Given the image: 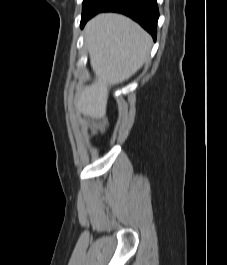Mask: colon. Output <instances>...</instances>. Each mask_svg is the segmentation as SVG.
Here are the masks:
<instances>
[{
    "mask_svg": "<svg viewBox=\"0 0 227 265\" xmlns=\"http://www.w3.org/2000/svg\"><path fill=\"white\" fill-rule=\"evenodd\" d=\"M105 128H106V122H105L104 119H97L95 121V123H94V129H95L96 132H103L105 130Z\"/></svg>",
    "mask_w": 227,
    "mask_h": 265,
    "instance_id": "colon-1",
    "label": "colon"
}]
</instances>
